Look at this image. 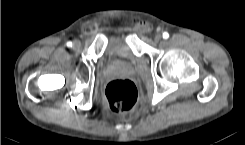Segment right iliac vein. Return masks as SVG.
Listing matches in <instances>:
<instances>
[{
  "label": "right iliac vein",
  "mask_w": 245,
  "mask_h": 145,
  "mask_svg": "<svg viewBox=\"0 0 245 145\" xmlns=\"http://www.w3.org/2000/svg\"><path fill=\"white\" fill-rule=\"evenodd\" d=\"M80 45H81V43H80L79 40H75L74 43H73L74 49H79Z\"/></svg>",
  "instance_id": "obj_1"
}]
</instances>
